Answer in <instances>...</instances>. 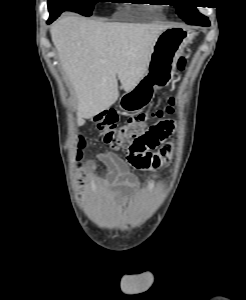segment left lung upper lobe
<instances>
[{
  "mask_svg": "<svg viewBox=\"0 0 246 300\" xmlns=\"http://www.w3.org/2000/svg\"><path fill=\"white\" fill-rule=\"evenodd\" d=\"M183 4L181 6H177L178 15L186 21L187 24L191 25H201V26H209L210 22L208 18L201 13L195 7V4L201 2L197 0H183Z\"/></svg>",
  "mask_w": 246,
  "mask_h": 300,
  "instance_id": "5c2ea615",
  "label": "left lung upper lobe"
}]
</instances>
